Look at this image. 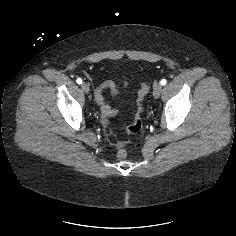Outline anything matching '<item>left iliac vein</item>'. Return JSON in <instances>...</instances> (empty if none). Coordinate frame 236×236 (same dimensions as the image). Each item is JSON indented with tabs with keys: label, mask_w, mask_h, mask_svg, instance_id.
Returning a JSON list of instances; mask_svg holds the SVG:
<instances>
[{
	"label": "left iliac vein",
	"mask_w": 236,
	"mask_h": 236,
	"mask_svg": "<svg viewBox=\"0 0 236 236\" xmlns=\"http://www.w3.org/2000/svg\"><path fill=\"white\" fill-rule=\"evenodd\" d=\"M162 91H163L162 85L159 84V83H156V84L154 85V90H153V96H154V98H156V99L159 98L160 95L162 94Z\"/></svg>",
	"instance_id": "4c4485c4"
}]
</instances>
